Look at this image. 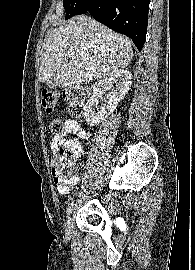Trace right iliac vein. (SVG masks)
<instances>
[{
  "label": "right iliac vein",
  "instance_id": "right-iliac-vein-1",
  "mask_svg": "<svg viewBox=\"0 0 195 270\" xmlns=\"http://www.w3.org/2000/svg\"><path fill=\"white\" fill-rule=\"evenodd\" d=\"M73 227V216H69L67 223H66V234L69 236L72 232Z\"/></svg>",
  "mask_w": 195,
  "mask_h": 270
}]
</instances>
